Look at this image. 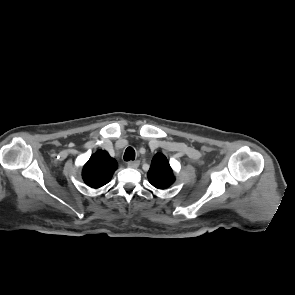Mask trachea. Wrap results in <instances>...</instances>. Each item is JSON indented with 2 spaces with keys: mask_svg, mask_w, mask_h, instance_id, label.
I'll return each mask as SVG.
<instances>
[{
  "mask_svg": "<svg viewBox=\"0 0 295 295\" xmlns=\"http://www.w3.org/2000/svg\"><path fill=\"white\" fill-rule=\"evenodd\" d=\"M123 158H124L125 161H130V160L133 161L135 159V150L132 147H128L125 150Z\"/></svg>",
  "mask_w": 295,
  "mask_h": 295,
  "instance_id": "1",
  "label": "trachea"
}]
</instances>
